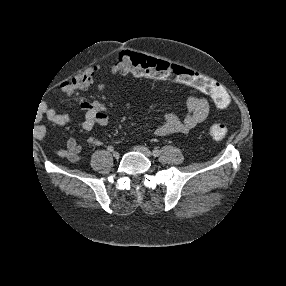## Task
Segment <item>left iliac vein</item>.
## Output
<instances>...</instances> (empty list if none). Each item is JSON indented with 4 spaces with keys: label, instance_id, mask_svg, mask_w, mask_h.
<instances>
[{
    "label": "left iliac vein",
    "instance_id": "4c4485c4",
    "mask_svg": "<svg viewBox=\"0 0 286 286\" xmlns=\"http://www.w3.org/2000/svg\"><path fill=\"white\" fill-rule=\"evenodd\" d=\"M133 149L137 152L144 154L147 157L152 156V152L145 146H135Z\"/></svg>",
    "mask_w": 286,
    "mask_h": 286
}]
</instances>
